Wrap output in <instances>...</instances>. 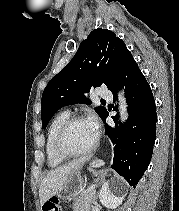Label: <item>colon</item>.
Returning <instances> with one entry per match:
<instances>
[{
    "label": "colon",
    "mask_w": 179,
    "mask_h": 211,
    "mask_svg": "<svg viewBox=\"0 0 179 211\" xmlns=\"http://www.w3.org/2000/svg\"><path fill=\"white\" fill-rule=\"evenodd\" d=\"M43 211H61L57 197H51L42 206Z\"/></svg>",
    "instance_id": "5ec220e1"
}]
</instances>
